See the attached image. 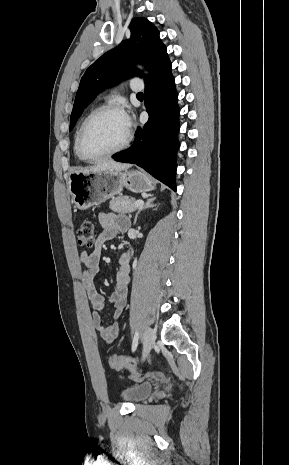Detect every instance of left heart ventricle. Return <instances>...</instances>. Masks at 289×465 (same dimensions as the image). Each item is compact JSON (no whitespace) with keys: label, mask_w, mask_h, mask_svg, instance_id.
I'll return each instance as SVG.
<instances>
[{"label":"left heart ventricle","mask_w":289,"mask_h":465,"mask_svg":"<svg viewBox=\"0 0 289 465\" xmlns=\"http://www.w3.org/2000/svg\"><path fill=\"white\" fill-rule=\"evenodd\" d=\"M128 132L121 113L107 112L96 116L90 123L85 137V151L100 155L120 146Z\"/></svg>","instance_id":"b2bd125f"}]
</instances>
